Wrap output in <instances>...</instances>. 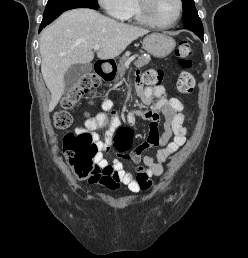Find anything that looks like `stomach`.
Returning <instances> with one entry per match:
<instances>
[{
    "mask_svg": "<svg viewBox=\"0 0 248 258\" xmlns=\"http://www.w3.org/2000/svg\"><path fill=\"white\" fill-rule=\"evenodd\" d=\"M174 39L161 33H152L143 40V48L151 55L164 58L168 56L175 48ZM108 66H106V69Z\"/></svg>",
    "mask_w": 248,
    "mask_h": 258,
    "instance_id": "1",
    "label": "stomach"
}]
</instances>
